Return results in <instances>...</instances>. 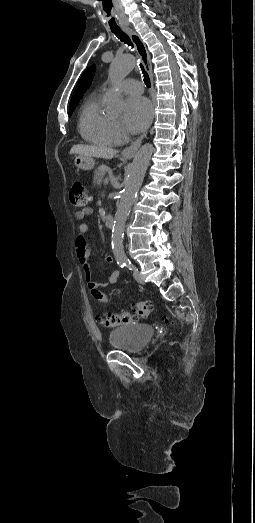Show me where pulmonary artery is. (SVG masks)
<instances>
[{
	"label": "pulmonary artery",
	"mask_w": 255,
	"mask_h": 523,
	"mask_svg": "<svg viewBox=\"0 0 255 523\" xmlns=\"http://www.w3.org/2000/svg\"><path fill=\"white\" fill-rule=\"evenodd\" d=\"M120 90L122 92L130 93V98L132 100H137L139 98V94L143 91V86L137 80L125 79V81L120 83Z\"/></svg>",
	"instance_id": "e3ab8cb5"
}]
</instances>
